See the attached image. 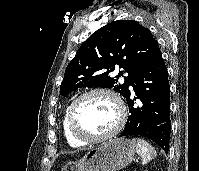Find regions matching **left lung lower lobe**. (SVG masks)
Listing matches in <instances>:
<instances>
[{
  "label": "left lung lower lobe",
  "mask_w": 199,
  "mask_h": 171,
  "mask_svg": "<svg viewBox=\"0 0 199 171\" xmlns=\"http://www.w3.org/2000/svg\"><path fill=\"white\" fill-rule=\"evenodd\" d=\"M131 85L136 97L131 99L130 90L125 95L130 115L120 137L144 136L168 153L171 132L170 86L159 46L138 71Z\"/></svg>",
  "instance_id": "left-lung-lower-lobe-1"
}]
</instances>
